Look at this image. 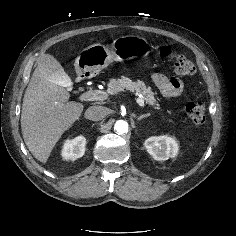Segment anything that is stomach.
I'll use <instances>...</instances> for the list:
<instances>
[{
	"mask_svg": "<svg viewBox=\"0 0 236 236\" xmlns=\"http://www.w3.org/2000/svg\"><path fill=\"white\" fill-rule=\"evenodd\" d=\"M150 52V44L144 37L120 36L112 42L111 49L102 44H94L85 48L75 60V70L78 75L91 76L106 68L113 61L122 62L147 56Z\"/></svg>",
	"mask_w": 236,
	"mask_h": 236,
	"instance_id": "1",
	"label": "stomach"
}]
</instances>
